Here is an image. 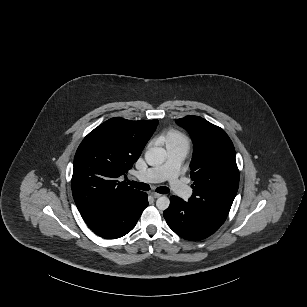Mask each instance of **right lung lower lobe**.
Returning <instances> with one entry per match:
<instances>
[{"label":"right lung lower lobe","instance_id":"right-lung-lower-lobe-1","mask_svg":"<svg viewBox=\"0 0 307 307\" xmlns=\"http://www.w3.org/2000/svg\"><path fill=\"white\" fill-rule=\"evenodd\" d=\"M147 206V194L138 191L113 207L84 220L95 234L106 239H116L134 228Z\"/></svg>","mask_w":307,"mask_h":307}]
</instances>
